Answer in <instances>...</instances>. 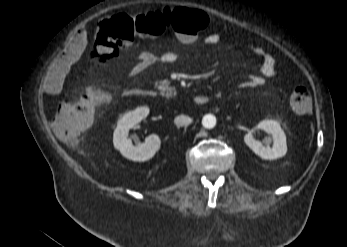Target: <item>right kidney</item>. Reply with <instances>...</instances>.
<instances>
[{"label":"right kidney","mask_w":347,"mask_h":247,"mask_svg":"<svg viewBox=\"0 0 347 247\" xmlns=\"http://www.w3.org/2000/svg\"><path fill=\"white\" fill-rule=\"evenodd\" d=\"M149 114L147 107L137 108L124 114L117 122L113 134V145L127 159L144 162L151 159L160 148V139L153 134L145 139V142L134 146L128 138L129 130L141 122Z\"/></svg>","instance_id":"right-kidney-1"}]
</instances>
